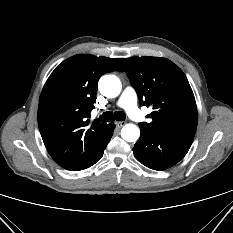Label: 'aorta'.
<instances>
[{"instance_id":"obj_1","label":"aorta","mask_w":233,"mask_h":233,"mask_svg":"<svg viewBox=\"0 0 233 233\" xmlns=\"http://www.w3.org/2000/svg\"><path fill=\"white\" fill-rule=\"evenodd\" d=\"M121 82L115 75H104L99 80V90L102 95L114 98L121 92ZM121 136L127 142H135L140 136L139 128L134 124H126L121 129Z\"/></svg>"}]
</instances>
